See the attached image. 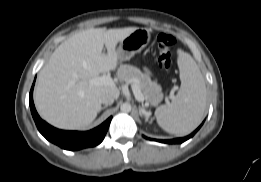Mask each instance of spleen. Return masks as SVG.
Masks as SVG:
<instances>
[{
	"label": "spleen",
	"instance_id": "spleen-1",
	"mask_svg": "<svg viewBox=\"0 0 261 182\" xmlns=\"http://www.w3.org/2000/svg\"><path fill=\"white\" fill-rule=\"evenodd\" d=\"M181 86L171 103L155 110L158 125L170 134L185 135L201 122L207 105L203 75L190 54L178 52Z\"/></svg>",
	"mask_w": 261,
	"mask_h": 182
}]
</instances>
